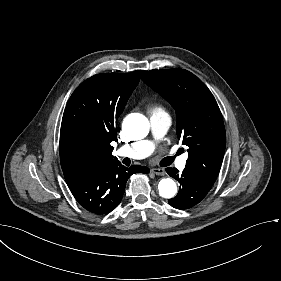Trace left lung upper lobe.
Listing matches in <instances>:
<instances>
[{
    "instance_id": "left-lung-upper-lobe-1",
    "label": "left lung upper lobe",
    "mask_w": 281,
    "mask_h": 281,
    "mask_svg": "<svg viewBox=\"0 0 281 281\" xmlns=\"http://www.w3.org/2000/svg\"><path fill=\"white\" fill-rule=\"evenodd\" d=\"M141 77L176 110L177 135L188 147L186 168L214 184L224 157L226 133L210 90L183 69L142 71Z\"/></svg>"
}]
</instances>
